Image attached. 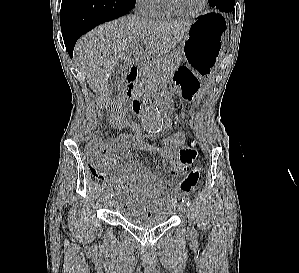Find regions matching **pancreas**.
<instances>
[{
    "instance_id": "pancreas-1",
    "label": "pancreas",
    "mask_w": 299,
    "mask_h": 273,
    "mask_svg": "<svg viewBox=\"0 0 299 273\" xmlns=\"http://www.w3.org/2000/svg\"><path fill=\"white\" fill-rule=\"evenodd\" d=\"M180 62L179 54L174 52L155 63L145 64L143 66L142 85L138 91H145L149 86H156L159 82L166 81L179 67Z\"/></svg>"
}]
</instances>
